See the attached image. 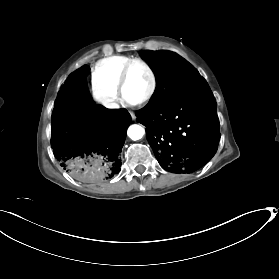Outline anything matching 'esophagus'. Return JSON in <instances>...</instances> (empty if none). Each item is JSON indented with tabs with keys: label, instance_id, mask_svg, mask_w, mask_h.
Instances as JSON below:
<instances>
[{
	"label": "esophagus",
	"instance_id": "1",
	"mask_svg": "<svg viewBox=\"0 0 279 279\" xmlns=\"http://www.w3.org/2000/svg\"><path fill=\"white\" fill-rule=\"evenodd\" d=\"M132 119H135V114L133 112H130Z\"/></svg>",
	"mask_w": 279,
	"mask_h": 279
}]
</instances>
